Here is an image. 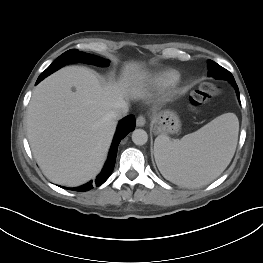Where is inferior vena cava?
I'll return each mask as SVG.
<instances>
[{
	"mask_svg": "<svg viewBox=\"0 0 263 263\" xmlns=\"http://www.w3.org/2000/svg\"><path fill=\"white\" fill-rule=\"evenodd\" d=\"M129 111L128 104L123 101L111 112V117L115 120H119L127 115Z\"/></svg>",
	"mask_w": 263,
	"mask_h": 263,
	"instance_id": "602c4592",
	"label": "inferior vena cava"
}]
</instances>
